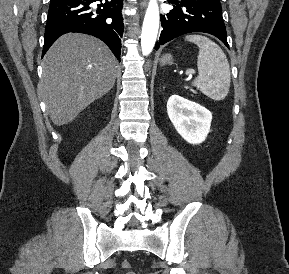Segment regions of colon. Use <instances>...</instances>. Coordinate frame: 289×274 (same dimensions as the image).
<instances>
[{"label": "colon", "instance_id": "1", "mask_svg": "<svg viewBox=\"0 0 289 274\" xmlns=\"http://www.w3.org/2000/svg\"><path fill=\"white\" fill-rule=\"evenodd\" d=\"M122 268L125 269V270H127V274H135V272H133V271L131 270L132 264H131V262L128 261V260L123 261V263H122Z\"/></svg>", "mask_w": 289, "mask_h": 274}]
</instances>
